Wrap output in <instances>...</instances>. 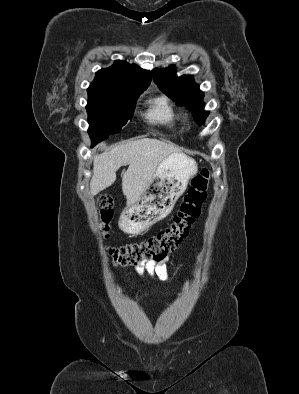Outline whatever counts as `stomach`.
<instances>
[{
  "label": "stomach",
  "mask_w": 299,
  "mask_h": 394,
  "mask_svg": "<svg viewBox=\"0 0 299 394\" xmlns=\"http://www.w3.org/2000/svg\"><path fill=\"white\" fill-rule=\"evenodd\" d=\"M197 164L187 155L175 152L157 167L140 200L126 207L119 227L128 234H139L164 219L197 173Z\"/></svg>",
  "instance_id": "stomach-1"
}]
</instances>
